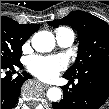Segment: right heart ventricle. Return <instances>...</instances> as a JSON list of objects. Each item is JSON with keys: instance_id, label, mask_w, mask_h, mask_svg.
<instances>
[{"instance_id": "1", "label": "right heart ventricle", "mask_w": 109, "mask_h": 109, "mask_svg": "<svg viewBox=\"0 0 109 109\" xmlns=\"http://www.w3.org/2000/svg\"><path fill=\"white\" fill-rule=\"evenodd\" d=\"M61 29H66V28L61 27V28L57 29V31H58V30H61Z\"/></svg>"}]
</instances>
